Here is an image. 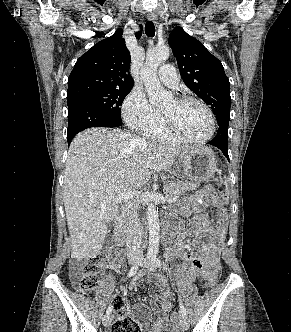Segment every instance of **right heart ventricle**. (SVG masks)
Wrapping results in <instances>:
<instances>
[{
  "label": "right heart ventricle",
  "instance_id": "right-heart-ventricle-1",
  "mask_svg": "<svg viewBox=\"0 0 291 332\" xmlns=\"http://www.w3.org/2000/svg\"><path fill=\"white\" fill-rule=\"evenodd\" d=\"M150 139L161 141V142H179L177 138L173 137L165 128L163 122L154 130L146 133Z\"/></svg>",
  "mask_w": 291,
  "mask_h": 332
}]
</instances>
